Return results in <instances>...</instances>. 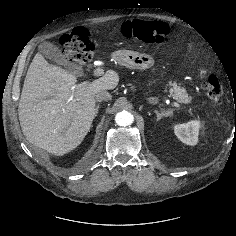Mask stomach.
Returning a JSON list of instances; mask_svg holds the SVG:
<instances>
[{"mask_svg":"<svg viewBox=\"0 0 236 236\" xmlns=\"http://www.w3.org/2000/svg\"><path fill=\"white\" fill-rule=\"evenodd\" d=\"M112 58L115 63L130 69L145 70L154 65V58L151 55L129 50L116 51L112 54ZM148 102L150 104H156L158 102V98L150 97L148 98Z\"/></svg>","mask_w":236,"mask_h":236,"instance_id":"1","label":"stomach"}]
</instances>
